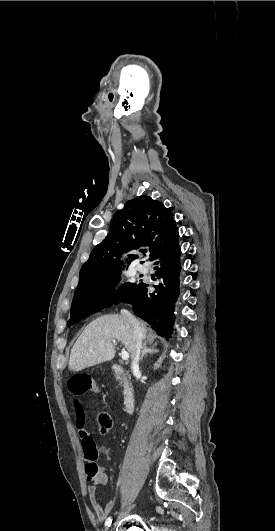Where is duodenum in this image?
Instances as JSON below:
<instances>
[{"label": "duodenum", "instance_id": "obj_1", "mask_svg": "<svg viewBox=\"0 0 275 531\" xmlns=\"http://www.w3.org/2000/svg\"><path fill=\"white\" fill-rule=\"evenodd\" d=\"M112 370L120 377H126L127 369L122 365H114ZM135 391L131 383L127 382L124 386V410L130 413L134 409Z\"/></svg>", "mask_w": 275, "mask_h": 531}]
</instances>
